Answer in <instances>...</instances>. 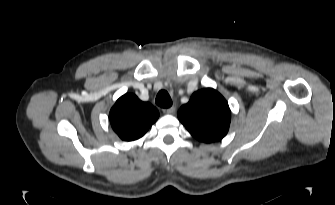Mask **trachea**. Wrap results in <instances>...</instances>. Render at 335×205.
<instances>
[{"label": "trachea", "mask_w": 335, "mask_h": 205, "mask_svg": "<svg viewBox=\"0 0 335 205\" xmlns=\"http://www.w3.org/2000/svg\"><path fill=\"white\" fill-rule=\"evenodd\" d=\"M156 104L162 108H169L172 106V100L167 91L161 90L156 96Z\"/></svg>", "instance_id": "3493384b"}]
</instances>
